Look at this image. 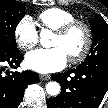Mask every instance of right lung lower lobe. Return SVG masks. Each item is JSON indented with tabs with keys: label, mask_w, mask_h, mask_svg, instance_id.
<instances>
[{
	"label": "right lung lower lobe",
	"mask_w": 108,
	"mask_h": 108,
	"mask_svg": "<svg viewBox=\"0 0 108 108\" xmlns=\"http://www.w3.org/2000/svg\"><path fill=\"white\" fill-rule=\"evenodd\" d=\"M23 55L18 49L0 47V108H17L29 84L39 81L37 73L31 71L9 72L6 68L19 67Z\"/></svg>",
	"instance_id": "98d812e1"
}]
</instances>
